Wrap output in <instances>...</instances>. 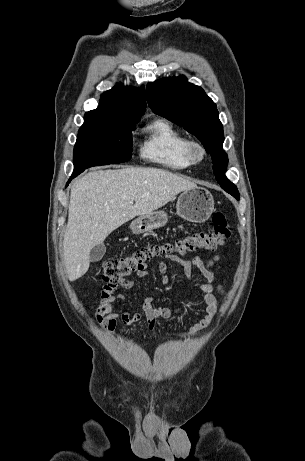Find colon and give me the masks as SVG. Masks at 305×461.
Listing matches in <instances>:
<instances>
[{
  "mask_svg": "<svg viewBox=\"0 0 305 461\" xmlns=\"http://www.w3.org/2000/svg\"><path fill=\"white\" fill-rule=\"evenodd\" d=\"M213 230L195 232L174 241L148 245L136 249L122 258L105 259L101 264L102 278L108 282H118L145 267L146 263L158 256L184 255L198 250H216L230 237V228L222 212L212 217Z\"/></svg>",
  "mask_w": 305,
  "mask_h": 461,
  "instance_id": "1",
  "label": "colon"
}]
</instances>
